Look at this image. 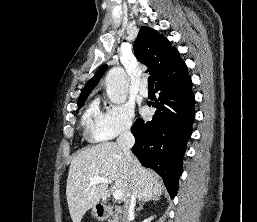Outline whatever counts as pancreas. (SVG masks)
I'll return each mask as SVG.
<instances>
[{"label":"pancreas","instance_id":"pancreas-1","mask_svg":"<svg viewBox=\"0 0 257 222\" xmlns=\"http://www.w3.org/2000/svg\"><path fill=\"white\" fill-rule=\"evenodd\" d=\"M108 222H118V219L115 215H112L111 219Z\"/></svg>","mask_w":257,"mask_h":222}]
</instances>
